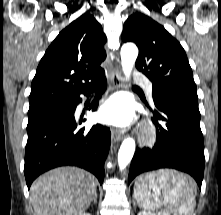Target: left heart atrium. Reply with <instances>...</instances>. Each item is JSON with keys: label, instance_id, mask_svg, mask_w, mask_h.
<instances>
[{"label": "left heart atrium", "instance_id": "left-heart-atrium-1", "mask_svg": "<svg viewBox=\"0 0 221 215\" xmlns=\"http://www.w3.org/2000/svg\"><path fill=\"white\" fill-rule=\"evenodd\" d=\"M98 118L104 123L127 126L133 120L132 105L125 97L115 96L100 108Z\"/></svg>", "mask_w": 221, "mask_h": 215}]
</instances>
